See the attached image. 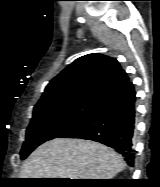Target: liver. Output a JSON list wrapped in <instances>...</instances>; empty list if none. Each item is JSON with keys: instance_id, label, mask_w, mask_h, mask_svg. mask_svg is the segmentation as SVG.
I'll return each instance as SVG.
<instances>
[{"instance_id": "obj_1", "label": "liver", "mask_w": 160, "mask_h": 187, "mask_svg": "<svg viewBox=\"0 0 160 187\" xmlns=\"http://www.w3.org/2000/svg\"><path fill=\"white\" fill-rule=\"evenodd\" d=\"M123 157L101 143L55 138L40 145L23 163L21 178L112 179Z\"/></svg>"}]
</instances>
